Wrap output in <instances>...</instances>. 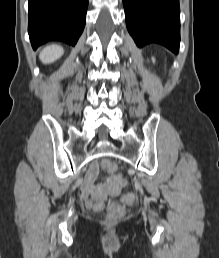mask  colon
<instances>
[{
  "label": "colon",
  "mask_w": 219,
  "mask_h": 258,
  "mask_svg": "<svg viewBox=\"0 0 219 258\" xmlns=\"http://www.w3.org/2000/svg\"><path fill=\"white\" fill-rule=\"evenodd\" d=\"M102 168L106 170L107 172L113 173L116 171L117 166L116 164L111 160H104L102 162ZM123 200L125 202H133L135 200V195L133 193H126L123 195ZM87 206L89 209L93 211H99L104 207V204L102 202H92L89 201L87 203ZM123 213V208L118 203H111L108 206V218L109 220H116L119 218Z\"/></svg>",
  "instance_id": "5ec220e1"
}]
</instances>
